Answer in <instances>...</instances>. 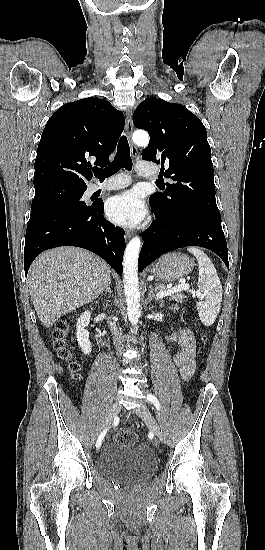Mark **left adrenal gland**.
<instances>
[{"label": "left adrenal gland", "mask_w": 265, "mask_h": 550, "mask_svg": "<svg viewBox=\"0 0 265 550\" xmlns=\"http://www.w3.org/2000/svg\"><path fill=\"white\" fill-rule=\"evenodd\" d=\"M152 300H153V301H154V300H155V301H159V303H160L159 306H160V307L163 306V301L155 296V294H154V289H153L152 285H150V286H149V290H148V298H147V301H148V302H151Z\"/></svg>", "instance_id": "1"}]
</instances>
